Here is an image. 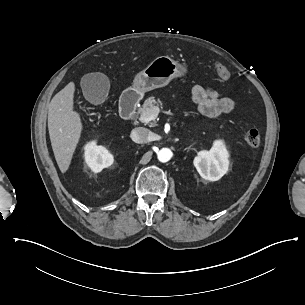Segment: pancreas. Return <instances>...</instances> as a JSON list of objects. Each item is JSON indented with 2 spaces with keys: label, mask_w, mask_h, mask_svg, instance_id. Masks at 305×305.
Returning a JSON list of instances; mask_svg holds the SVG:
<instances>
[{
  "label": "pancreas",
  "mask_w": 305,
  "mask_h": 305,
  "mask_svg": "<svg viewBox=\"0 0 305 305\" xmlns=\"http://www.w3.org/2000/svg\"><path fill=\"white\" fill-rule=\"evenodd\" d=\"M163 105V102L160 100V98H155L154 96H151L148 98V100L145 101L144 106L138 109L139 113L148 112L150 114V111L154 107H160ZM152 126H156L155 123L152 124Z\"/></svg>",
  "instance_id": "obj_1"
}]
</instances>
